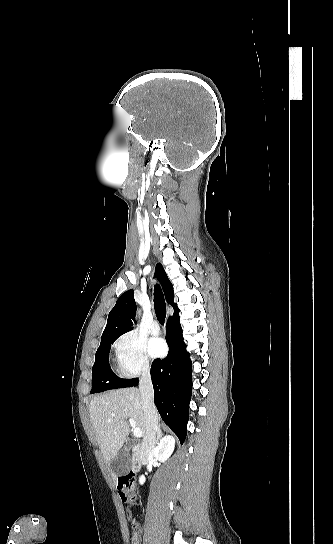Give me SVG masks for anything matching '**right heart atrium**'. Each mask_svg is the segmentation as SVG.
<instances>
[{
	"label": "right heart atrium",
	"mask_w": 333,
	"mask_h": 544,
	"mask_svg": "<svg viewBox=\"0 0 333 544\" xmlns=\"http://www.w3.org/2000/svg\"><path fill=\"white\" fill-rule=\"evenodd\" d=\"M115 364L123 378H134L150 372L144 341L133 331L120 335L113 344Z\"/></svg>",
	"instance_id": "obj_1"
}]
</instances>
